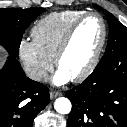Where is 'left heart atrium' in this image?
I'll return each mask as SVG.
<instances>
[{"instance_id":"1","label":"left heart atrium","mask_w":127,"mask_h":127,"mask_svg":"<svg viewBox=\"0 0 127 127\" xmlns=\"http://www.w3.org/2000/svg\"><path fill=\"white\" fill-rule=\"evenodd\" d=\"M70 79L71 77L67 73L59 69L54 75L52 81L56 85H62V84L67 83Z\"/></svg>"}]
</instances>
